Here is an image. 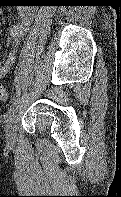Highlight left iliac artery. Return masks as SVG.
<instances>
[{"label": "left iliac artery", "instance_id": "1", "mask_svg": "<svg viewBox=\"0 0 121 197\" xmlns=\"http://www.w3.org/2000/svg\"><path fill=\"white\" fill-rule=\"evenodd\" d=\"M23 68H24V60L20 61L15 71L16 97L13 99L12 104L10 108L8 109V112H7L8 117H10L17 110L18 104L20 102V95H21L20 78L22 75Z\"/></svg>", "mask_w": 121, "mask_h": 197}]
</instances>
